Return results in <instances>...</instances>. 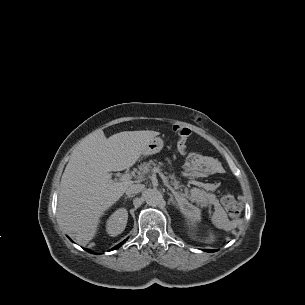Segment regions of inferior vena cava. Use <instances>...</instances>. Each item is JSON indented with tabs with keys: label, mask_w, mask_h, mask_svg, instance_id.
I'll return each instance as SVG.
<instances>
[{
	"label": "inferior vena cava",
	"mask_w": 305,
	"mask_h": 305,
	"mask_svg": "<svg viewBox=\"0 0 305 305\" xmlns=\"http://www.w3.org/2000/svg\"><path fill=\"white\" fill-rule=\"evenodd\" d=\"M144 188V185L142 184H133L126 190V195H133L141 192Z\"/></svg>",
	"instance_id": "inferior-vena-cava-1"
}]
</instances>
